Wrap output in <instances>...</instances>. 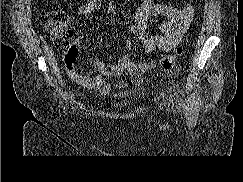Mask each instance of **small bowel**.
<instances>
[{
	"label": "small bowel",
	"mask_w": 243,
	"mask_h": 182,
	"mask_svg": "<svg viewBox=\"0 0 243 182\" xmlns=\"http://www.w3.org/2000/svg\"><path fill=\"white\" fill-rule=\"evenodd\" d=\"M101 0H87L80 5L78 13L80 15H90L99 10ZM153 14L164 16L167 21L160 26V35L147 37L148 22ZM194 18V8L189 4L173 7L159 4L153 0H144L139 8L135 20L126 24L141 41L144 53L148 54L156 48L164 53H169L178 45ZM82 39H78L74 45V54L65 58V67L68 75L82 88L95 90L100 95L106 97L111 94V86L106 77L127 74L133 85L140 86L143 82V75L155 67V62L146 60H135L130 53L124 54L116 63H106L102 59L96 58L93 67L98 72L94 77L83 75L76 67V56L82 46ZM127 49L131 48V43L127 42ZM115 86L121 90L127 88L125 80H118ZM131 91H121L114 94L115 97H122L130 94Z\"/></svg>",
	"instance_id": "obj_1"
}]
</instances>
